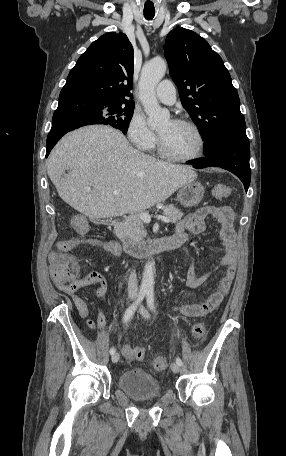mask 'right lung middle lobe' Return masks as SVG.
Returning <instances> with one entry per match:
<instances>
[{
  "instance_id": "dd1d6c3e",
  "label": "right lung middle lobe",
  "mask_w": 286,
  "mask_h": 456,
  "mask_svg": "<svg viewBox=\"0 0 286 456\" xmlns=\"http://www.w3.org/2000/svg\"><path fill=\"white\" fill-rule=\"evenodd\" d=\"M89 100L80 107V122L77 127L91 124L111 125L127 133L134 111V103L113 102L89 95Z\"/></svg>"
}]
</instances>
